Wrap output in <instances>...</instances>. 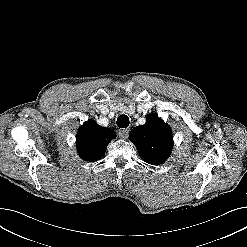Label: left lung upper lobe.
I'll return each instance as SVG.
<instances>
[{"instance_id":"obj_1","label":"left lung upper lobe","mask_w":247,"mask_h":247,"mask_svg":"<svg viewBox=\"0 0 247 247\" xmlns=\"http://www.w3.org/2000/svg\"><path fill=\"white\" fill-rule=\"evenodd\" d=\"M129 138L140 157L151 165L162 164L169 157L173 144L169 126L155 114L149 115L144 125L134 127Z\"/></svg>"}]
</instances>
